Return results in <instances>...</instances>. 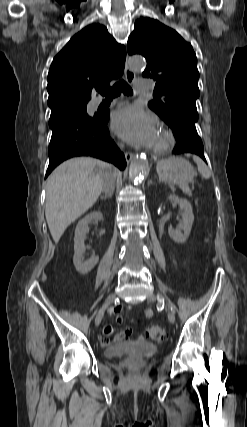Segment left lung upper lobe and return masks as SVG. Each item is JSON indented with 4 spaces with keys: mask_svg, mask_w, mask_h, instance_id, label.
<instances>
[{
    "mask_svg": "<svg viewBox=\"0 0 247 427\" xmlns=\"http://www.w3.org/2000/svg\"><path fill=\"white\" fill-rule=\"evenodd\" d=\"M127 49L129 55L141 54L146 58L142 75L156 80L155 92L159 96L148 106L167 124L178 118L197 122L199 72L191 44L159 21L142 18L135 22Z\"/></svg>",
    "mask_w": 247,
    "mask_h": 427,
    "instance_id": "1",
    "label": "left lung upper lobe"
}]
</instances>
